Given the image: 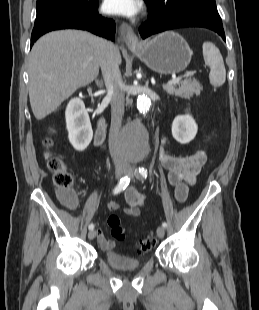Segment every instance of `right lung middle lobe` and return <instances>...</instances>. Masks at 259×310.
I'll use <instances>...</instances> for the list:
<instances>
[{"label": "right lung middle lobe", "mask_w": 259, "mask_h": 310, "mask_svg": "<svg viewBox=\"0 0 259 310\" xmlns=\"http://www.w3.org/2000/svg\"><path fill=\"white\" fill-rule=\"evenodd\" d=\"M87 3V0H37L36 19L52 12L75 11L84 8Z\"/></svg>", "instance_id": "1"}]
</instances>
